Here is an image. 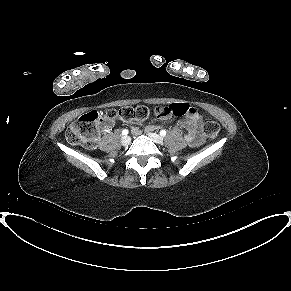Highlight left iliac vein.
<instances>
[{
    "instance_id": "4c4485c4",
    "label": "left iliac vein",
    "mask_w": 291,
    "mask_h": 291,
    "mask_svg": "<svg viewBox=\"0 0 291 291\" xmlns=\"http://www.w3.org/2000/svg\"><path fill=\"white\" fill-rule=\"evenodd\" d=\"M148 136L152 139L153 142H155L157 144H163V141L164 140H163V138L160 135H158L156 133L149 132L148 133Z\"/></svg>"
}]
</instances>
